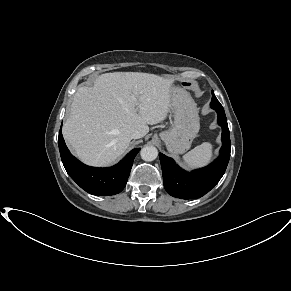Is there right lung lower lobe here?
I'll return each mask as SVG.
<instances>
[{"instance_id":"98d812e1","label":"right lung lower lobe","mask_w":291,"mask_h":291,"mask_svg":"<svg viewBox=\"0 0 291 291\" xmlns=\"http://www.w3.org/2000/svg\"><path fill=\"white\" fill-rule=\"evenodd\" d=\"M58 145L63 165L69 176L86 192L109 196L120 193L125 187L135 156L140 148L133 149L118 164L109 168H95L78 161L69 152L61 132Z\"/></svg>"}]
</instances>
